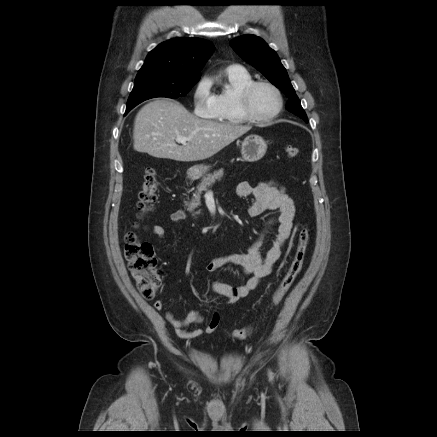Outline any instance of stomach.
<instances>
[{"instance_id":"0dacf381","label":"stomach","mask_w":437,"mask_h":437,"mask_svg":"<svg viewBox=\"0 0 437 437\" xmlns=\"http://www.w3.org/2000/svg\"><path fill=\"white\" fill-rule=\"evenodd\" d=\"M267 151L265 140L258 135L247 136L241 144V154L245 161L255 162L260 160ZM210 169L207 165H195L190 168L191 174L199 178L205 175Z\"/></svg>"}]
</instances>
